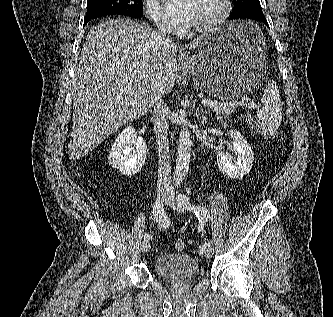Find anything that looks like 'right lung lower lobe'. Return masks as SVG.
<instances>
[{"mask_svg": "<svg viewBox=\"0 0 333 317\" xmlns=\"http://www.w3.org/2000/svg\"><path fill=\"white\" fill-rule=\"evenodd\" d=\"M92 18H94V17H92ZM92 18H87V17H86V18L84 19V24H86V23H87L89 20H91Z\"/></svg>", "mask_w": 333, "mask_h": 317, "instance_id": "1", "label": "right lung lower lobe"}]
</instances>
